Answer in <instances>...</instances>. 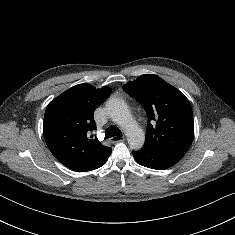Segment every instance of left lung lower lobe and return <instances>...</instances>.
Instances as JSON below:
<instances>
[{"label":"left lung lower lobe","instance_id":"1","mask_svg":"<svg viewBox=\"0 0 235 235\" xmlns=\"http://www.w3.org/2000/svg\"><path fill=\"white\" fill-rule=\"evenodd\" d=\"M133 155L140 165L157 170L167 169L183 157L177 153L145 146L140 151H133Z\"/></svg>","mask_w":235,"mask_h":235}]
</instances>
